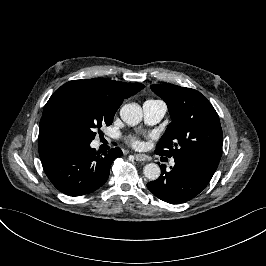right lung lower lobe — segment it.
<instances>
[{
    "label": "right lung lower lobe",
    "instance_id": "right-lung-lower-lobe-1",
    "mask_svg": "<svg viewBox=\"0 0 266 266\" xmlns=\"http://www.w3.org/2000/svg\"><path fill=\"white\" fill-rule=\"evenodd\" d=\"M122 156L120 148L99 154L90 143L66 142L57 145L42 160L52 184L69 196L89 194L108 179L113 160Z\"/></svg>",
    "mask_w": 266,
    "mask_h": 266
}]
</instances>
